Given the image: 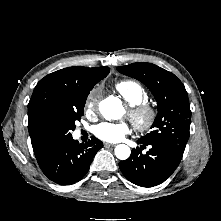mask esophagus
Segmentation results:
<instances>
[{
  "instance_id": "34e87169",
  "label": "esophagus",
  "mask_w": 221,
  "mask_h": 221,
  "mask_svg": "<svg viewBox=\"0 0 221 221\" xmlns=\"http://www.w3.org/2000/svg\"><path fill=\"white\" fill-rule=\"evenodd\" d=\"M103 145L105 148L115 147V144H111V143H107V142H104Z\"/></svg>"
}]
</instances>
